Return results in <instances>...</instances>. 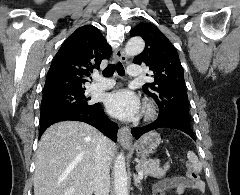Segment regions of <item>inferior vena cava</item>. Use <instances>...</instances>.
Returning <instances> with one entry per match:
<instances>
[{"instance_id": "1", "label": "inferior vena cava", "mask_w": 240, "mask_h": 195, "mask_svg": "<svg viewBox=\"0 0 240 195\" xmlns=\"http://www.w3.org/2000/svg\"><path fill=\"white\" fill-rule=\"evenodd\" d=\"M110 139L101 137L96 147V173L94 177V193L95 195H109L110 189V161L108 159V145Z\"/></svg>"}]
</instances>
